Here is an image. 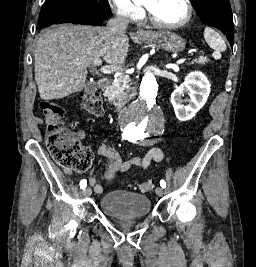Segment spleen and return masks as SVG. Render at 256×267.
Masks as SVG:
<instances>
[{
    "label": "spleen",
    "mask_w": 256,
    "mask_h": 267,
    "mask_svg": "<svg viewBox=\"0 0 256 267\" xmlns=\"http://www.w3.org/2000/svg\"><path fill=\"white\" fill-rule=\"evenodd\" d=\"M203 36L208 46H210L212 50H215L213 56H217V58H219L220 52H225L226 50V44L223 38H221L218 32L212 30V28H205Z\"/></svg>",
    "instance_id": "1"
}]
</instances>
